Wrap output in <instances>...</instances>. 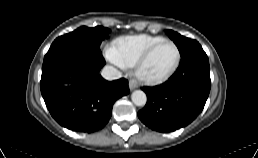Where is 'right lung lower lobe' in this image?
I'll return each instance as SVG.
<instances>
[{"label": "right lung lower lobe", "instance_id": "98d812e1", "mask_svg": "<svg viewBox=\"0 0 258 158\" xmlns=\"http://www.w3.org/2000/svg\"><path fill=\"white\" fill-rule=\"evenodd\" d=\"M101 52L61 48L47 52L42 66L41 94L52 117L62 126L82 132L103 128L114 102L129 93L128 81L104 80Z\"/></svg>", "mask_w": 258, "mask_h": 158}]
</instances>
